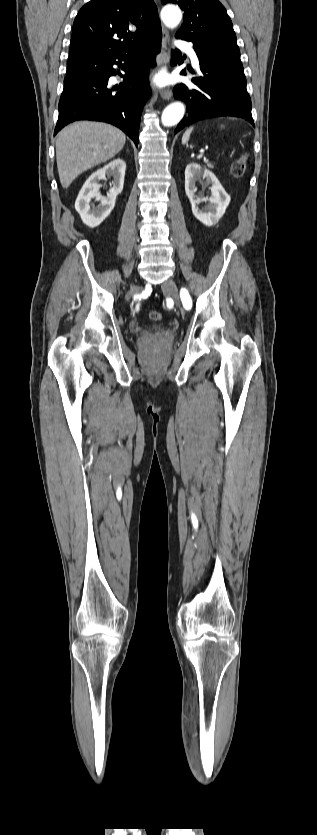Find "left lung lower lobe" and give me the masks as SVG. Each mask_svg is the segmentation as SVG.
I'll list each match as a JSON object with an SVG mask.
<instances>
[{
	"mask_svg": "<svg viewBox=\"0 0 317 835\" xmlns=\"http://www.w3.org/2000/svg\"><path fill=\"white\" fill-rule=\"evenodd\" d=\"M194 50L200 64L199 75L192 79L194 86L180 83L173 90L175 98L187 104L188 111L175 133L196 121L220 116L242 118L255 127L240 51L205 42L194 44ZM179 54L178 50L172 52V65L182 63ZM188 70L192 72L191 68ZM181 74L186 75V71Z\"/></svg>",
	"mask_w": 317,
	"mask_h": 835,
	"instance_id": "obj_1",
	"label": "left lung lower lobe"
}]
</instances>
